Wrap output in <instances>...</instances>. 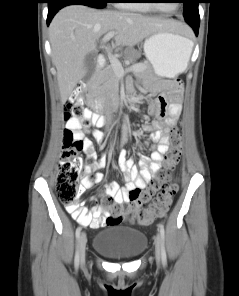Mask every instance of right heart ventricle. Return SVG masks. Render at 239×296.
Listing matches in <instances>:
<instances>
[{
    "instance_id": "1",
    "label": "right heart ventricle",
    "mask_w": 239,
    "mask_h": 296,
    "mask_svg": "<svg viewBox=\"0 0 239 296\" xmlns=\"http://www.w3.org/2000/svg\"><path fill=\"white\" fill-rule=\"evenodd\" d=\"M144 2V0H120L117 4V7L124 9H133L139 11L150 12L152 9L148 6L147 3H137Z\"/></svg>"
}]
</instances>
